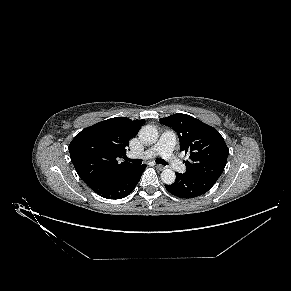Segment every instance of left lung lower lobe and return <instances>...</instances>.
<instances>
[{"instance_id": "left-lung-lower-lobe-1", "label": "left lung lower lobe", "mask_w": 291, "mask_h": 291, "mask_svg": "<svg viewBox=\"0 0 291 291\" xmlns=\"http://www.w3.org/2000/svg\"><path fill=\"white\" fill-rule=\"evenodd\" d=\"M218 178L213 175L190 176L186 173H177L175 182L165 187L179 198H195L210 190Z\"/></svg>"}]
</instances>
